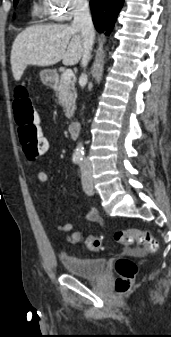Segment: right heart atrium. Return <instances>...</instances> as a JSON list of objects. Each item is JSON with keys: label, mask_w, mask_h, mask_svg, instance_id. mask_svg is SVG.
Returning a JSON list of instances; mask_svg holds the SVG:
<instances>
[{"label": "right heart atrium", "mask_w": 171, "mask_h": 337, "mask_svg": "<svg viewBox=\"0 0 171 337\" xmlns=\"http://www.w3.org/2000/svg\"><path fill=\"white\" fill-rule=\"evenodd\" d=\"M45 12L55 21H68L83 10L87 0H44Z\"/></svg>", "instance_id": "1"}]
</instances>
